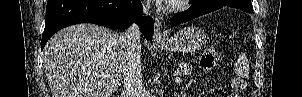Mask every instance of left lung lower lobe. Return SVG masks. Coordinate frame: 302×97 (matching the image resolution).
Listing matches in <instances>:
<instances>
[{"mask_svg": "<svg viewBox=\"0 0 302 97\" xmlns=\"http://www.w3.org/2000/svg\"><path fill=\"white\" fill-rule=\"evenodd\" d=\"M225 6L238 8L248 13L253 12L251 0H194L188 10L173 16L171 25L184 23Z\"/></svg>", "mask_w": 302, "mask_h": 97, "instance_id": "1", "label": "left lung lower lobe"}]
</instances>
